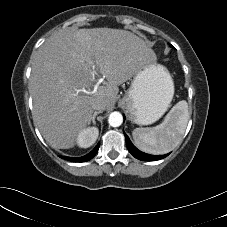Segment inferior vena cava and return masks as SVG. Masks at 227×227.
Returning <instances> with one entry per match:
<instances>
[{
  "instance_id": "inferior-vena-cava-1",
  "label": "inferior vena cava",
  "mask_w": 227,
  "mask_h": 227,
  "mask_svg": "<svg viewBox=\"0 0 227 227\" xmlns=\"http://www.w3.org/2000/svg\"><path fill=\"white\" fill-rule=\"evenodd\" d=\"M92 107L94 110L103 111V110H105L106 105L103 101L98 100L93 104Z\"/></svg>"
}]
</instances>
